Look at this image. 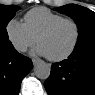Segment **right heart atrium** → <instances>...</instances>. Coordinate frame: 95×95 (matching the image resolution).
I'll return each instance as SVG.
<instances>
[{
  "instance_id": "right-heart-atrium-1",
  "label": "right heart atrium",
  "mask_w": 95,
  "mask_h": 95,
  "mask_svg": "<svg viewBox=\"0 0 95 95\" xmlns=\"http://www.w3.org/2000/svg\"><path fill=\"white\" fill-rule=\"evenodd\" d=\"M5 31L12 46L20 53L36 43V38L29 33L25 24L16 19H11L6 24Z\"/></svg>"
}]
</instances>
